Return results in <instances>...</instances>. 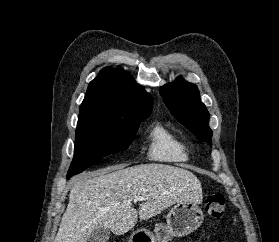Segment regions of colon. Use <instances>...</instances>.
<instances>
[{
  "label": "colon",
  "mask_w": 279,
  "mask_h": 242,
  "mask_svg": "<svg viewBox=\"0 0 279 242\" xmlns=\"http://www.w3.org/2000/svg\"><path fill=\"white\" fill-rule=\"evenodd\" d=\"M225 210V197L222 193H215L207 197L205 211L214 221L222 218Z\"/></svg>",
  "instance_id": "5ec220e1"
}]
</instances>
